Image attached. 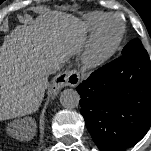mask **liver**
Masks as SVG:
<instances>
[{"mask_svg":"<svg viewBox=\"0 0 151 151\" xmlns=\"http://www.w3.org/2000/svg\"><path fill=\"white\" fill-rule=\"evenodd\" d=\"M84 23L61 12L17 26L0 47V121L31 113L40 106L51 67L65 63L84 41ZM36 125L26 139L35 136Z\"/></svg>","mask_w":151,"mask_h":151,"instance_id":"1","label":"liver"}]
</instances>
